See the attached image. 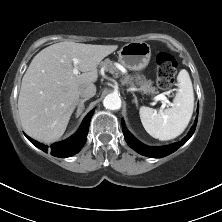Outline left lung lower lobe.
<instances>
[{"instance_id":"obj_1","label":"left lung lower lobe","mask_w":222,"mask_h":222,"mask_svg":"<svg viewBox=\"0 0 222 222\" xmlns=\"http://www.w3.org/2000/svg\"><path fill=\"white\" fill-rule=\"evenodd\" d=\"M197 119L195 120L194 125L192 126L190 132L188 135L182 139V141L167 145V146H162V147H149L141 142H139L133 135L129 133V131L126 129L124 126V122L122 120V129H123V134L126 142L128 145L133 148L136 152L140 153L141 155L147 156V157H152V158H162L165 157L174 151H176L178 148H180L184 143H186L189 138L193 135L196 125H197Z\"/></svg>"}]
</instances>
